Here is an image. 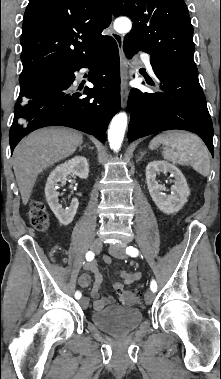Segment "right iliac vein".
Masks as SVG:
<instances>
[{
  "mask_svg": "<svg viewBox=\"0 0 221 379\" xmlns=\"http://www.w3.org/2000/svg\"><path fill=\"white\" fill-rule=\"evenodd\" d=\"M102 249V242L99 239H96L93 241L91 245V250L95 252L96 254L99 253ZM80 304L82 307H87L88 306V300L85 297H82L80 300Z\"/></svg>",
  "mask_w": 221,
  "mask_h": 379,
  "instance_id": "1",
  "label": "right iliac vein"
}]
</instances>
